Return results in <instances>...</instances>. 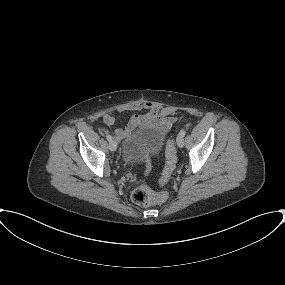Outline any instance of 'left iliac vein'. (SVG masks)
<instances>
[{
	"label": "left iliac vein",
	"mask_w": 285,
	"mask_h": 285,
	"mask_svg": "<svg viewBox=\"0 0 285 285\" xmlns=\"http://www.w3.org/2000/svg\"><path fill=\"white\" fill-rule=\"evenodd\" d=\"M176 143L178 147L182 148L184 146V138L180 134L177 136Z\"/></svg>",
	"instance_id": "4c4485c4"
}]
</instances>
